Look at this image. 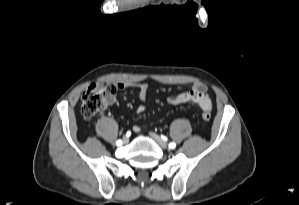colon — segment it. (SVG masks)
<instances>
[{
  "instance_id": "obj_1",
  "label": "colon",
  "mask_w": 299,
  "mask_h": 205,
  "mask_svg": "<svg viewBox=\"0 0 299 205\" xmlns=\"http://www.w3.org/2000/svg\"><path fill=\"white\" fill-rule=\"evenodd\" d=\"M118 87L114 84L90 85L82 95L81 112L85 117H93L106 109L116 98ZM205 121H210L211 114L208 111L202 113Z\"/></svg>"
}]
</instances>
